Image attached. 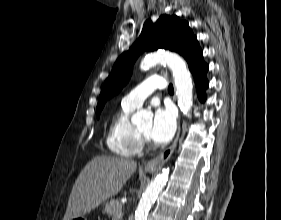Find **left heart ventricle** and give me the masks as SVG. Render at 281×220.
Here are the masks:
<instances>
[{"instance_id": "left-heart-ventricle-1", "label": "left heart ventricle", "mask_w": 281, "mask_h": 220, "mask_svg": "<svg viewBox=\"0 0 281 220\" xmlns=\"http://www.w3.org/2000/svg\"><path fill=\"white\" fill-rule=\"evenodd\" d=\"M151 128V125L150 124H147V125H144L142 127L139 128V130L148 137V133H149V130Z\"/></svg>"}]
</instances>
